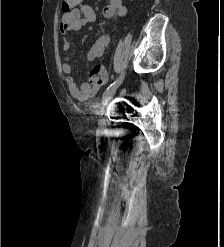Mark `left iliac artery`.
Listing matches in <instances>:
<instances>
[{
	"mask_svg": "<svg viewBox=\"0 0 224 247\" xmlns=\"http://www.w3.org/2000/svg\"><path fill=\"white\" fill-rule=\"evenodd\" d=\"M124 76H125V73L122 72V73L120 74V76H119L112 84H110V85L107 87L106 90H109L110 88H113V87H115V86L121 84V82H122L123 79H124Z\"/></svg>",
	"mask_w": 224,
	"mask_h": 247,
	"instance_id": "left-iliac-artery-1",
	"label": "left iliac artery"
}]
</instances>
